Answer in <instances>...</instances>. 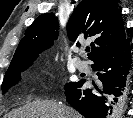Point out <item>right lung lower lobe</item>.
<instances>
[{
  "label": "right lung lower lobe",
  "mask_w": 133,
  "mask_h": 118,
  "mask_svg": "<svg viewBox=\"0 0 133 118\" xmlns=\"http://www.w3.org/2000/svg\"><path fill=\"white\" fill-rule=\"evenodd\" d=\"M91 65L101 82L85 80L65 86L67 102L86 118H116L123 107L131 75L129 39L100 53Z\"/></svg>",
  "instance_id": "right-lung-lower-lobe-1"
}]
</instances>
